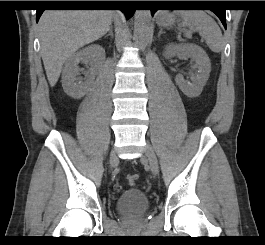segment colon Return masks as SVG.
Listing matches in <instances>:
<instances>
[{"label":"colon","mask_w":265,"mask_h":245,"mask_svg":"<svg viewBox=\"0 0 265 245\" xmlns=\"http://www.w3.org/2000/svg\"><path fill=\"white\" fill-rule=\"evenodd\" d=\"M138 179H139V175L138 174H131V175L128 176V181L130 183H135Z\"/></svg>","instance_id":"colon-1"}]
</instances>
